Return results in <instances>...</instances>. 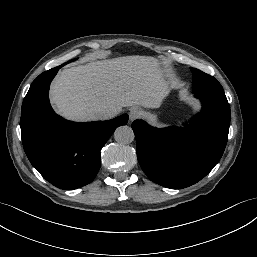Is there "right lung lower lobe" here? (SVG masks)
I'll use <instances>...</instances> for the list:
<instances>
[{
	"label": "right lung lower lobe",
	"mask_w": 257,
	"mask_h": 257,
	"mask_svg": "<svg viewBox=\"0 0 257 257\" xmlns=\"http://www.w3.org/2000/svg\"><path fill=\"white\" fill-rule=\"evenodd\" d=\"M62 66L43 72L33 81L23 100L20 127L31 164L54 186L72 190L93 181L101 166L102 147L118 126L127 123L128 115L87 123L56 115L48 91Z\"/></svg>",
	"instance_id": "right-lung-lower-lobe-1"
}]
</instances>
